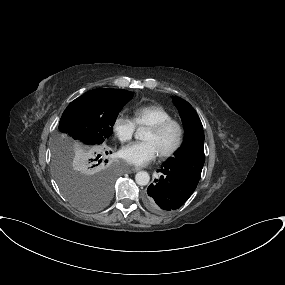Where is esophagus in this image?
I'll return each instance as SVG.
<instances>
[{
    "label": "esophagus",
    "mask_w": 285,
    "mask_h": 285,
    "mask_svg": "<svg viewBox=\"0 0 285 285\" xmlns=\"http://www.w3.org/2000/svg\"><path fill=\"white\" fill-rule=\"evenodd\" d=\"M140 170H141V168H139V167L131 169L132 172H137V171H140Z\"/></svg>",
    "instance_id": "34e87169"
}]
</instances>
